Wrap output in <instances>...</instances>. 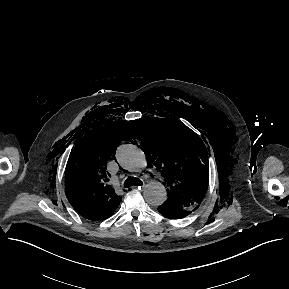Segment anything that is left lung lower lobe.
Wrapping results in <instances>:
<instances>
[{
    "mask_svg": "<svg viewBox=\"0 0 289 289\" xmlns=\"http://www.w3.org/2000/svg\"><path fill=\"white\" fill-rule=\"evenodd\" d=\"M158 211L169 219H181L190 214L189 211L184 209L174 208L165 204L158 206Z\"/></svg>",
    "mask_w": 289,
    "mask_h": 289,
    "instance_id": "1",
    "label": "left lung lower lobe"
}]
</instances>
